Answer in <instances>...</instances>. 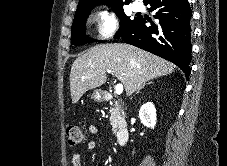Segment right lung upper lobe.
Segmentation results:
<instances>
[{
	"label": "right lung upper lobe",
	"instance_id": "cb5924a9",
	"mask_svg": "<svg viewBox=\"0 0 227 166\" xmlns=\"http://www.w3.org/2000/svg\"><path fill=\"white\" fill-rule=\"evenodd\" d=\"M101 1H103L104 3L113 8L123 6L124 4H128L131 0H125V2H123V0H79V4L76 11L92 9L94 5H97ZM143 1L146 2L147 0Z\"/></svg>",
	"mask_w": 227,
	"mask_h": 166
}]
</instances>
